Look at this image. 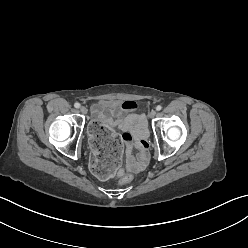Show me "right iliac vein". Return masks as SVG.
I'll list each match as a JSON object with an SVG mask.
<instances>
[{"label": "right iliac vein", "instance_id": "63e3f726", "mask_svg": "<svg viewBox=\"0 0 248 248\" xmlns=\"http://www.w3.org/2000/svg\"><path fill=\"white\" fill-rule=\"evenodd\" d=\"M80 111L82 114H86L87 113V108L85 106L80 107Z\"/></svg>", "mask_w": 248, "mask_h": 248}]
</instances>
